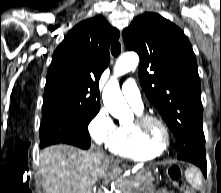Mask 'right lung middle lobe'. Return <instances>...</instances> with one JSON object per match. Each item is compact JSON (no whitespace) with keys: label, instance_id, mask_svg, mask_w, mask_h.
<instances>
[{"label":"right lung middle lobe","instance_id":"obj_1","mask_svg":"<svg viewBox=\"0 0 221 193\" xmlns=\"http://www.w3.org/2000/svg\"><path fill=\"white\" fill-rule=\"evenodd\" d=\"M94 110H47L42 111L40 147L68 143L87 149L90 147L89 122L97 115Z\"/></svg>","mask_w":221,"mask_h":193}]
</instances>
